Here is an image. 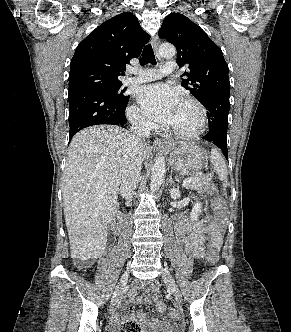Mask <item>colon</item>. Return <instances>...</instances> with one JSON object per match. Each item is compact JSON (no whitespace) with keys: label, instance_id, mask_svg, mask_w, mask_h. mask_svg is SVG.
<instances>
[{"label":"colon","instance_id":"obj_1","mask_svg":"<svg viewBox=\"0 0 291 332\" xmlns=\"http://www.w3.org/2000/svg\"><path fill=\"white\" fill-rule=\"evenodd\" d=\"M204 192L213 197L218 194L217 188L213 184L206 185ZM214 209L219 223L224 224L226 222V205L224 200L216 198L214 200ZM207 259L210 264L215 265L219 260L218 248L211 246ZM121 332H142V327L138 321L127 320L123 323Z\"/></svg>","mask_w":291,"mask_h":332}]
</instances>
